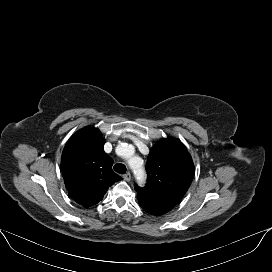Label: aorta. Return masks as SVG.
Listing matches in <instances>:
<instances>
[{"mask_svg":"<svg viewBox=\"0 0 272 272\" xmlns=\"http://www.w3.org/2000/svg\"><path fill=\"white\" fill-rule=\"evenodd\" d=\"M128 164L131 170L133 171L135 178L139 181L142 180L145 176V170L139 158L137 157L130 158Z\"/></svg>","mask_w":272,"mask_h":272,"instance_id":"obj_1","label":"aorta"}]
</instances>
